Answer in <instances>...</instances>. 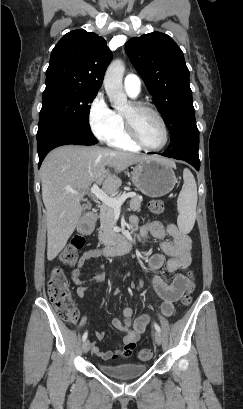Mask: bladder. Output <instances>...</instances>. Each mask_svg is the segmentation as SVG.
Segmentation results:
<instances>
[{"label": "bladder", "instance_id": "31cf9c89", "mask_svg": "<svg viewBox=\"0 0 243 409\" xmlns=\"http://www.w3.org/2000/svg\"><path fill=\"white\" fill-rule=\"evenodd\" d=\"M99 371L113 379L125 381L142 376L147 371V364H138L134 362L110 365L97 363Z\"/></svg>", "mask_w": 243, "mask_h": 409}]
</instances>
